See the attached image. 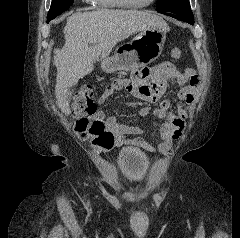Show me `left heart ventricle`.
<instances>
[{"label": "left heart ventricle", "instance_id": "left-heart-ventricle-1", "mask_svg": "<svg viewBox=\"0 0 240 238\" xmlns=\"http://www.w3.org/2000/svg\"><path fill=\"white\" fill-rule=\"evenodd\" d=\"M129 1H134V2H147L149 0H129Z\"/></svg>", "mask_w": 240, "mask_h": 238}]
</instances>
